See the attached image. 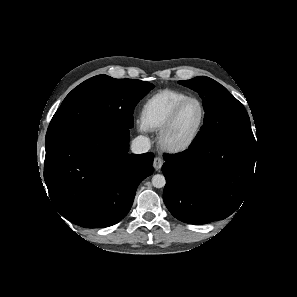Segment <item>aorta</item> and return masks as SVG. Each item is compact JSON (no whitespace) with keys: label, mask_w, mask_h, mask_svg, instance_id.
Here are the masks:
<instances>
[{"label":"aorta","mask_w":297,"mask_h":297,"mask_svg":"<svg viewBox=\"0 0 297 297\" xmlns=\"http://www.w3.org/2000/svg\"><path fill=\"white\" fill-rule=\"evenodd\" d=\"M152 184L156 188H163L166 184L164 175L156 174L152 177Z\"/></svg>","instance_id":"1"}]
</instances>
